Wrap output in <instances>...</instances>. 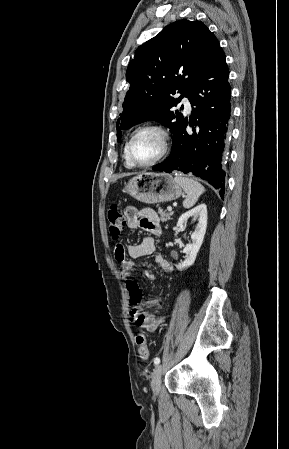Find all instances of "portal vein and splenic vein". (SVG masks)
I'll list each match as a JSON object with an SVG mask.
<instances>
[{
    "instance_id": "obj_1",
    "label": "portal vein and splenic vein",
    "mask_w": 289,
    "mask_h": 449,
    "mask_svg": "<svg viewBox=\"0 0 289 449\" xmlns=\"http://www.w3.org/2000/svg\"><path fill=\"white\" fill-rule=\"evenodd\" d=\"M167 210L171 212V211H172V207H171V206H168V207H167Z\"/></svg>"
}]
</instances>
